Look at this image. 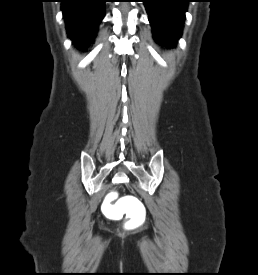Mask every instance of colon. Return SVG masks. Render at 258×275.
Listing matches in <instances>:
<instances>
[{"instance_id":"1","label":"colon","mask_w":258,"mask_h":275,"mask_svg":"<svg viewBox=\"0 0 258 275\" xmlns=\"http://www.w3.org/2000/svg\"><path fill=\"white\" fill-rule=\"evenodd\" d=\"M112 197L115 198L116 196L114 194H112Z\"/></svg>"}]
</instances>
